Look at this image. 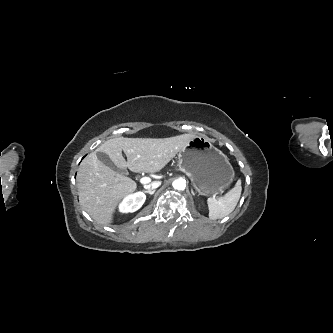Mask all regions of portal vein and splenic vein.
Returning <instances> with one entry per match:
<instances>
[{"mask_svg": "<svg viewBox=\"0 0 333 333\" xmlns=\"http://www.w3.org/2000/svg\"><path fill=\"white\" fill-rule=\"evenodd\" d=\"M149 182H151V179H150L149 177H142V178L140 179V183H141V184H147V183H149Z\"/></svg>", "mask_w": 333, "mask_h": 333, "instance_id": "18ae733b", "label": "portal vein and splenic vein"}]
</instances>
